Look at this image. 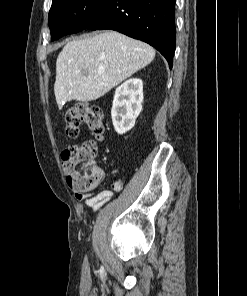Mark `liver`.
I'll list each match as a JSON object with an SVG mask.
<instances>
[{
  "label": "liver",
  "instance_id": "1",
  "mask_svg": "<svg viewBox=\"0 0 247 296\" xmlns=\"http://www.w3.org/2000/svg\"><path fill=\"white\" fill-rule=\"evenodd\" d=\"M153 47L116 31L68 42L56 61L54 93L59 109L67 101H93L150 64Z\"/></svg>",
  "mask_w": 247,
  "mask_h": 296
}]
</instances>
